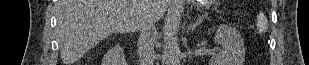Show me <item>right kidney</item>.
<instances>
[{"mask_svg": "<svg viewBox=\"0 0 309 65\" xmlns=\"http://www.w3.org/2000/svg\"><path fill=\"white\" fill-rule=\"evenodd\" d=\"M104 65H126L123 48L117 44L103 58Z\"/></svg>", "mask_w": 309, "mask_h": 65, "instance_id": "1", "label": "right kidney"}]
</instances>
